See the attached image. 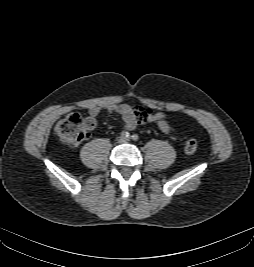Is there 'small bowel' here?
Returning <instances> with one entry per match:
<instances>
[{"instance_id": "obj_1", "label": "small bowel", "mask_w": 254, "mask_h": 267, "mask_svg": "<svg viewBox=\"0 0 254 267\" xmlns=\"http://www.w3.org/2000/svg\"><path fill=\"white\" fill-rule=\"evenodd\" d=\"M92 118L98 117L101 113L118 115L122 118L127 129H134L138 124L153 122L164 133H171L172 127L167 120V116L162 112H153L146 108H133L128 104H107L102 106H92L88 110Z\"/></svg>"}]
</instances>
